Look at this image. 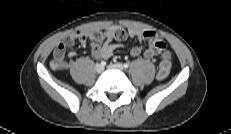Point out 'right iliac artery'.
Returning <instances> with one entry per match:
<instances>
[{
    "mask_svg": "<svg viewBox=\"0 0 231 134\" xmlns=\"http://www.w3.org/2000/svg\"><path fill=\"white\" fill-rule=\"evenodd\" d=\"M100 64L104 67L106 65V62L105 61H101Z\"/></svg>",
    "mask_w": 231,
    "mask_h": 134,
    "instance_id": "right-iliac-artery-1",
    "label": "right iliac artery"
}]
</instances>
